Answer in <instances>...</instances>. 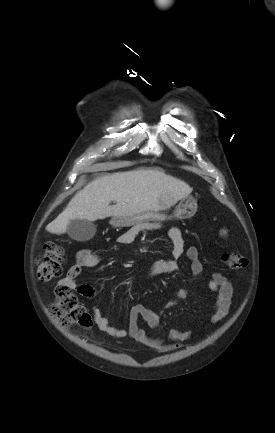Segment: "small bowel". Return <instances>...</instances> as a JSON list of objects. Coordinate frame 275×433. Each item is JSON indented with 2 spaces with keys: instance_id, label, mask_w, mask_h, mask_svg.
Segmentation results:
<instances>
[{
  "instance_id": "1",
  "label": "small bowel",
  "mask_w": 275,
  "mask_h": 433,
  "mask_svg": "<svg viewBox=\"0 0 275 433\" xmlns=\"http://www.w3.org/2000/svg\"><path fill=\"white\" fill-rule=\"evenodd\" d=\"M138 233L139 229L132 228L120 235L118 242L122 245H129L134 242ZM169 237L172 242V258L155 262L146 270V277L154 278L161 274L176 272L178 270L177 259L184 253H186L187 257L191 261L190 268L192 275L199 276L203 271V265L198 256V249L192 246L185 251L182 233L178 227L170 229ZM100 262V256L93 253L91 250L84 249L79 251L76 255V262L68 270L66 276L60 280L59 287H66L84 297L93 298L96 295L95 289L89 284L78 283L77 279L83 268L96 267ZM209 288L216 295L214 311L210 317V321L216 323L223 320L229 313L233 287L225 275L220 272H213L209 281ZM185 296V292H180L178 294L179 298ZM93 314L95 322L101 331L117 338L129 336L139 343L158 352H170L176 350L180 348L183 342L188 340L192 335L190 331L171 329L168 335L169 342H166L161 337H155L148 334L146 330L139 326V319H142L152 330L159 329L160 319L157 313L143 304H135L131 308L127 329L111 326L107 318L97 308H93Z\"/></svg>"
}]
</instances>
